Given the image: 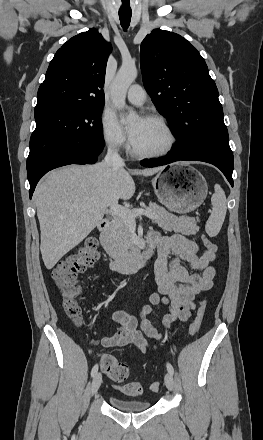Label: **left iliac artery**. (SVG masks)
<instances>
[{
  "label": "left iliac artery",
  "mask_w": 263,
  "mask_h": 440,
  "mask_svg": "<svg viewBox=\"0 0 263 440\" xmlns=\"http://www.w3.org/2000/svg\"><path fill=\"white\" fill-rule=\"evenodd\" d=\"M167 370H168L169 373H171L173 375L174 369H173V367H172V365L170 363H167Z\"/></svg>",
  "instance_id": "44dca946"
}]
</instances>
